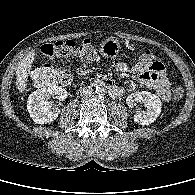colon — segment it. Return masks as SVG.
Listing matches in <instances>:
<instances>
[{
	"label": "colon",
	"instance_id": "5ec220e1",
	"mask_svg": "<svg viewBox=\"0 0 195 195\" xmlns=\"http://www.w3.org/2000/svg\"><path fill=\"white\" fill-rule=\"evenodd\" d=\"M42 54L48 59H65L77 56L81 60L91 61L95 58V49L88 39L75 43L72 40L50 42L42 45ZM137 63H141L149 72L161 74L165 71L163 63L150 51L145 50L138 56ZM31 78L35 84L43 87L67 85L71 81V74L62 68L45 64L32 71ZM184 90L177 87L173 91V98L180 100Z\"/></svg>",
	"mask_w": 195,
	"mask_h": 195
}]
</instances>
